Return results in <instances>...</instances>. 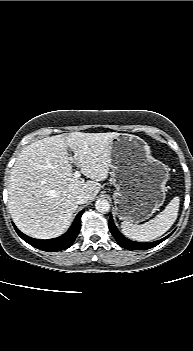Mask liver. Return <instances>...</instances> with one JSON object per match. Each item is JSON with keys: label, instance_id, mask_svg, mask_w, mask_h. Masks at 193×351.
<instances>
[{"label": "liver", "instance_id": "6515ba94", "mask_svg": "<svg viewBox=\"0 0 193 351\" xmlns=\"http://www.w3.org/2000/svg\"><path fill=\"white\" fill-rule=\"evenodd\" d=\"M119 133L72 132L46 137L26 146L11 170L8 208L16 226L37 239L62 235L78 208L76 196L86 192L93 200L108 177L112 139ZM82 174L73 177L71 157Z\"/></svg>", "mask_w": 193, "mask_h": 351}]
</instances>
